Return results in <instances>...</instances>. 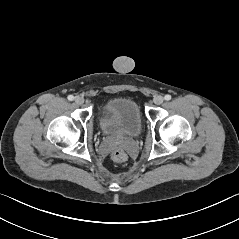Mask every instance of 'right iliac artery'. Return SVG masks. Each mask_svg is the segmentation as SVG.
<instances>
[{"instance_id": "right-iliac-artery-1", "label": "right iliac artery", "mask_w": 239, "mask_h": 239, "mask_svg": "<svg viewBox=\"0 0 239 239\" xmlns=\"http://www.w3.org/2000/svg\"><path fill=\"white\" fill-rule=\"evenodd\" d=\"M68 100H69V101H73V100H74V96H73V95H69V96H68Z\"/></svg>"}]
</instances>
